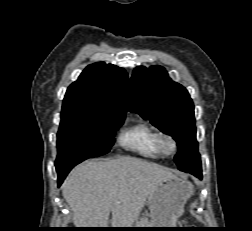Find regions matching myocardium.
<instances>
[{
	"mask_svg": "<svg viewBox=\"0 0 252 231\" xmlns=\"http://www.w3.org/2000/svg\"><path fill=\"white\" fill-rule=\"evenodd\" d=\"M165 142L170 143V145H171L170 149H166ZM156 146H157V149L159 150V152L163 156H170V155H173L177 151L178 142L175 139V137L172 136L171 134L165 133V132H160V133H158L157 138H156Z\"/></svg>",
	"mask_w": 252,
	"mask_h": 231,
	"instance_id": "obj_1",
	"label": "myocardium"
}]
</instances>
